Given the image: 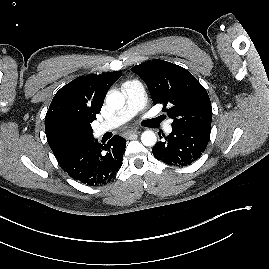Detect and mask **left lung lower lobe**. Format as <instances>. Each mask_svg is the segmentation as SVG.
<instances>
[{"label":"left lung lower lobe","instance_id":"obj_1","mask_svg":"<svg viewBox=\"0 0 269 269\" xmlns=\"http://www.w3.org/2000/svg\"><path fill=\"white\" fill-rule=\"evenodd\" d=\"M210 133L209 127L172 128L165 140L153 147V155L157 160L171 166L190 165L205 151Z\"/></svg>","mask_w":269,"mask_h":269}]
</instances>
